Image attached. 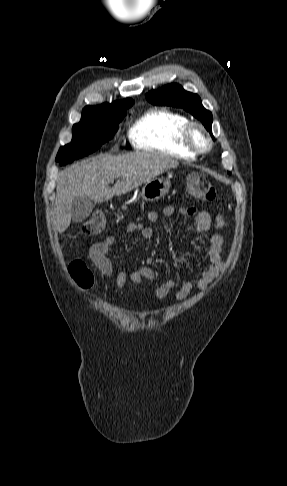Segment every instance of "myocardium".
I'll list each match as a JSON object with an SVG mask.
<instances>
[{
	"instance_id": "1",
	"label": "myocardium",
	"mask_w": 287,
	"mask_h": 486,
	"mask_svg": "<svg viewBox=\"0 0 287 486\" xmlns=\"http://www.w3.org/2000/svg\"><path fill=\"white\" fill-rule=\"evenodd\" d=\"M182 137L187 148L195 154L206 153L213 145L205 128L198 122H188L183 130Z\"/></svg>"
}]
</instances>
